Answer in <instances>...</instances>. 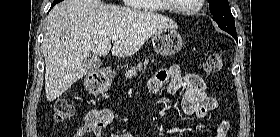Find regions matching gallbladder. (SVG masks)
<instances>
[{
    "label": "gallbladder",
    "instance_id": "gallbladder-1",
    "mask_svg": "<svg viewBox=\"0 0 280 137\" xmlns=\"http://www.w3.org/2000/svg\"><path fill=\"white\" fill-rule=\"evenodd\" d=\"M82 66L87 71H96L101 66V60L95 55H90L82 60Z\"/></svg>",
    "mask_w": 280,
    "mask_h": 137
}]
</instances>
